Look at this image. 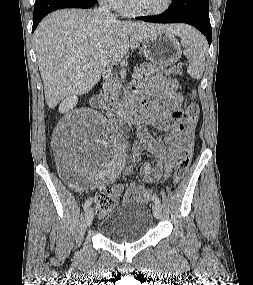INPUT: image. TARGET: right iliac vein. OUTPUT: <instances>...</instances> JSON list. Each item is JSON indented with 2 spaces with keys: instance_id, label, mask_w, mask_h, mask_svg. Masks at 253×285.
<instances>
[{
  "instance_id": "obj_1",
  "label": "right iliac vein",
  "mask_w": 253,
  "mask_h": 285,
  "mask_svg": "<svg viewBox=\"0 0 253 285\" xmlns=\"http://www.w3.org/2000/svg\"><path fill=\"white\" fill-rule=\"evenodd\" d=\"M94 218V210L92 208H88L85 213V224L89 227L92 224Z\"/></svg>"
}]
</instances>
